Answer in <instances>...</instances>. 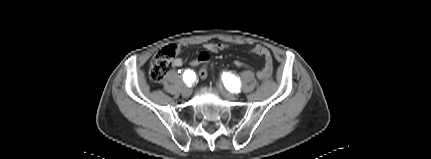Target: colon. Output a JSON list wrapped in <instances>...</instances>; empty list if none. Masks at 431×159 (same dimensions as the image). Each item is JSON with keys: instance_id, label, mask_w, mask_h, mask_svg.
I'll return each mask as SVG.
<instances>
[{"instance_id": "obj_1", "label": "colon", "mask_w": 431, "mask_h": 159, "mask_svg": "<svg viewBox=\"0 0 431 159\" xmlns=\"http://www.w3.org/2000/svg\"><path fill=\"white\" fill-rule=\"evenodd\" d=\"M175 47H167L157 53L150 62L149 75L154 82H160L171 71L172 62L171 58L175 55ZM212 54L209 51H200L197 58L189 59V68L198 69V79H207L209 63L211 62ZM234 67L236 69L245 68L250 70L253 75L257 74L256 68L242 61H235Z\"/></svg>"}]
</instances>
